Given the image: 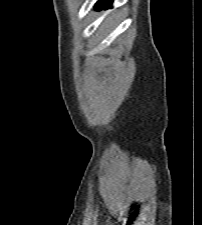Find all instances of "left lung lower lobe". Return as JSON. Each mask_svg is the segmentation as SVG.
<instances>
[{"label":"left lung lower lobe","mask_w":202,"mask_h":225,"mask_svg":"<svg viewBox=\"0 0 202 225\" xmlns=\"http://www.w3.org/2000/svg\"><path fill=\"white\" fill-rule=\"evenodd\" d=\"M111 4H112V0H102L99 3H97L96 8L100 10V9L109 7Z\"/></svg>","instance_id":"1"}]
</instances>
